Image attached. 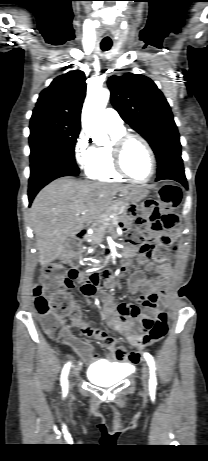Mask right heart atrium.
<instances>
[{"label":"right heart atrium","mask_w":208,"mask_h":461,"mask_svg":"<svg viewBox=\"0 0 208 461\" xmlns=\"http://www.w3.org/2000/svg\"><path fill=\"white\" fill-rule=\"evenodd\" d=\"M92 147L84 132H81L74 145V159L80 167H85L89 161Z\"/></svg>","instance_id":"d8ad5b80"}]
</instances>
